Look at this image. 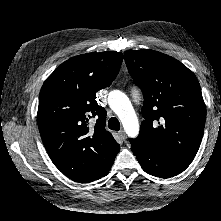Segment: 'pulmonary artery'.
I'll list each match as a JSON object with an SVG mask.
<instances>
[{"label":"pulmonary artery","instance_id":"obj_1","mask_svg":"<svg viewBox=\"0 0 221 221\" xmlns=\"http://www.w3.org/2000/svg\"><path fill=\"white\" fill-rule=\"evenodd\" d=\"M131 92L132 94L137 95L139 93V89L136 86H132Z\"/></svg>","mask_w":221,"mask_h":221}]
</instances>
